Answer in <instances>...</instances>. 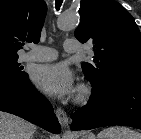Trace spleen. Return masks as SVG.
I'll return each instance as SVG.
<instances>
[{
    "label": "spleen",
    "instance_id": "obj_1",
    "mask_svg": "<svg viewBox=\"0 0 141 139\" xmlns=\"http://www.w3.org/2000/svg\"><path fill=\"white\" fill-rule=\"evenodd\" d=\"M97 139H141V134L127 127H109L101 131Z\"/></svg>",
    "mask_w": 141,
    "mask_h": 139
}]
</instances>
